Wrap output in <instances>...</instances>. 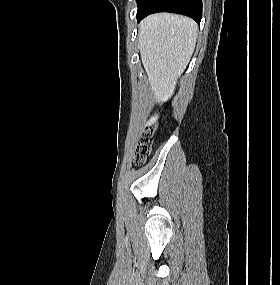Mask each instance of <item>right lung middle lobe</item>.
<instances>
[{"instance_id":"right-lung-middle-lobe-1","label":"right lung middle lobe","mask_w":280,"mask_h":285,"mask_svg":"<svg viewBox=\"0 0 280 285\" xmlns=\"http://www.w3.org/2000/svg\"><path fill=\"white\" fill-rule=\"evenodd\" d=\"M143 0H137L138 5L142 2Z\"/></svg>"}]
</instances>
